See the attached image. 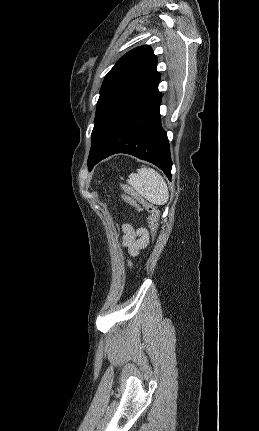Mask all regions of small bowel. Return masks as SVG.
Here are the masks:
<instances>
[{
  "label": "small bowel",
  "instance_id": "1",
  "mask_svg": "<svg viewBox=\"0 0 259 431\" xmlns=\"http://www.w3.org/2000/svg\"><path fill=\"white\" fill-rule=\"evenodd\" d=\"M122 231V244L127 247L131 256H136L141 249L147 246L149 235L146 229H134L132 226L125 224ZM129 265L131 266V262H129Z\"/></svg>",
  "mask_w": 259,
  "mask_h": 431
}]
</instances>
